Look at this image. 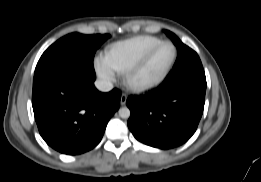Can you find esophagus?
<instances>
[{"instance_id": "esophagus-1", "label": "esophagus", "mask_w": 261, "mask_h": 182, "mask_svg": "<svg viewBox=\"0 0 261 182\" xmlns=\"http://www.w3.org/2000/svg\"><path fill=\"white\" fill-rule=\"evenodd\" d=\"M126 101H127V95L125 93H122L120 98V104L123 106L126 104Z\"/></svg>"}]
</instances>
